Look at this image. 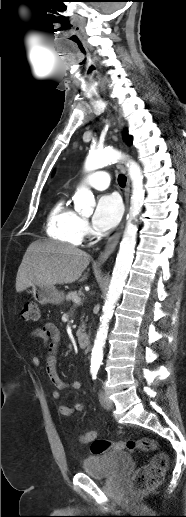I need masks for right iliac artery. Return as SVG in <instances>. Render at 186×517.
Returning a JSON list of instances; mask_svg holds the SVG:
<instances>
[{
    "instance_id": "82829eb1",
    "label": "right iliac artery",
    "mask_w": 186,
    "mask_h": 517,
    "mask_svg": "<svg viewBox=\"0 0 186 517\" xmlns=\"http://www.w3.org/2000/svg\"><path fill=\"white\" fill-rule=\"evenodd\" d=\"M91 374H92V376H93V379H95V378H96L97 371H91Z\"/></svg>"
}]
</instances>
